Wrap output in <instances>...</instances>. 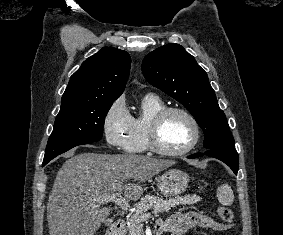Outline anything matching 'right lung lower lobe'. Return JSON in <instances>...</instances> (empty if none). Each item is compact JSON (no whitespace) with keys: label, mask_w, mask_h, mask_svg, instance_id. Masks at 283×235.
I'll use <instances>...</instances> for the list:
<instances>
[{"label":"right lung lower lobe","mask_w":283,"mask_h":235,"mask_svg":"<svg viewBox=\"0 0 283 235\" xmlns=\"http://www.w3.org/2000/svg\"><path fill=\"white\" fill-rule=\"evenodd\" d=\"M47 163H43L42 165L45 166Z\"/></svg>","instance_id":"obj_1"}]
</instances>
